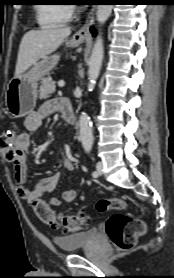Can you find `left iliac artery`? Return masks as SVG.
<instances>
[{"label":"left iliac artery","mask_w":174,"mask_h":278,"mask_svg":"<svg viewBox=\"0 0 174 278\" xmlns=\"http://www.w3.org/2000/svg\"><path fill=\"white\" fill-rule=\"evenodd\" d=\"M87 152H89V151H87ZM92 175H93V177H97V176H98L97 171H94V172L92 173Z\"/></svg>","instance_id":"1"}]
</instances>
